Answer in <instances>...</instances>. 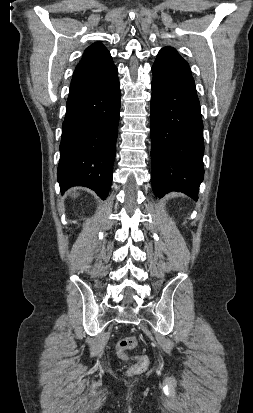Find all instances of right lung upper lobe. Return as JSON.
Here are the masks:
<instances>
[{
  "mask_svg": "<svg viewBox=\"0 0 253 413\" xmlns=\"http://www.w3.org/2000/svg\"><path fill=\"white\" fill-rule=\"evenodd\" d=\"M114 67L111 55L105 46L100 42L92 44L84 51L74 71L68 97L92 89L103 81Z\"/></svg>",
  "mask_w": 253,
  "mask_h": 413,
  "instance_id": "obj_1",
  "label": "right lung upper lobe"
}]
</instances>
